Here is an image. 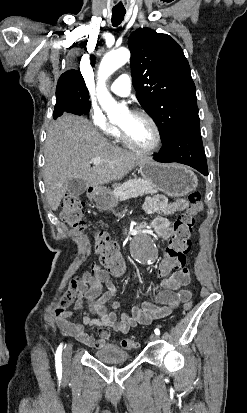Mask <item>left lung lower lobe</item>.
Instances as JSON below:
<instances>
[{"mask_svg": "<svg viewBox=\"0 0 247 413\" xmlns=\"http://www.w3.org/2000/svg\"><path fill=\"white\" fill-rule=\"evenodd\" d=\"M154 159L161 163L178 162L189 165L203 175H208L207 161L202 138L197 132H181L163 143Z\"/></svg>", "mask_w": 247, "mask_h": 413, "instance_id": "0a47b994", "label": "left lung lower lobe"}]
</instances>
